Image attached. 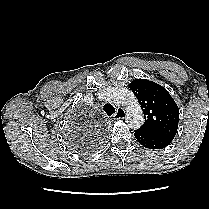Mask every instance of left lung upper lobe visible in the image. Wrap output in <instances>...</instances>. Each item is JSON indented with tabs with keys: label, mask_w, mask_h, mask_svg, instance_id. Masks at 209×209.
Here are the masks:
<instances>
[{
	"label": "left lung upper lobe",
	"mask_w": 209,
	"mask_h": 209,
	"mask_svg": "<svg viewBox=\"0 0 209 209\" xmlns=\"http://www.w3.org/2000/svg\"><path fill=\"white\" fill-rule=\"evenodd\" d=\"M129 87L144 112L145 122L138 130L173 140L178 128L179 109L168 91L146 79H135Z\"/></svg>",
	"instance_id": "1"
}]
</instances>
